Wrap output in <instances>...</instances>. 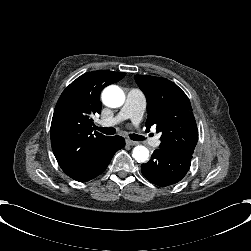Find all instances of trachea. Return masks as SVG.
I'll use <instances>...</instances> for the list:
<instances>
[{
  "label": "trachea",
  "mask_w": 251,
  "mask_h": 251,
  "mask_svg": "<svg viewBox=\"0 0 251 251\" xmlns=\"http://www.w3.org/2000/svg\"><path fill=\"white\" fill-rule=\"evenodd\" d=\"M95 129L106 134V135H114L116 133V129L114 127H97ZM129 137L134 141H144L147 137L143 135L130 134Z\"/></svg>",
  "instance_id": "3493384b"
}]
</instances>
